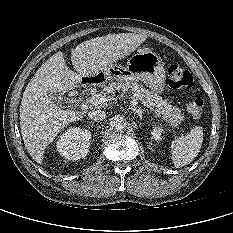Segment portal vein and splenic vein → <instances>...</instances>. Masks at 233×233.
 Here are the masks:
<instances>
[{
    "label": "portal vein and splenic vein",
    "instance_id": "obj_1",
    "mask_svg": "<svg viewBox=\"0 0 233 233\" xmlns=\"http://www.w3.org/2000/svg\"><path fill=\"white\" fill-rule=\"evenodd\" d=\"M89 101L93 105H103L107 101V97L103 94H96L93 95ZM131 104L135 106L138 104V102L136 99H132Z\"/></svg>",
    "mask_w": 233,
    "mask_h": 233
}]
</instances>
